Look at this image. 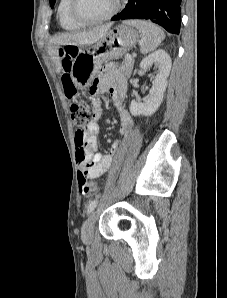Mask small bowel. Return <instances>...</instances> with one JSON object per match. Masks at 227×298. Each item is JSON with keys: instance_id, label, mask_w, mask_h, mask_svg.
Instances as JSON below:
<instances>
[{"instance_id": "small-bowel-1", "label": "small bowel", "mask_w": 227, "mask_h": 298, "mask_svg": "<svg viewBox=\"0 0 227 298\" xmlns=\"http://www.w3.org/2000/svg\"><path fill=\"white\" fill-rule=\"evenodd\" d=\"M90 98H85V103H93L94 107H87V112L96 117H90L91 124L84 125L85 138V159L79 160L76 155L79 173H86L87 179H98L102 177L110 168L112 156L115 153L119 141H115L112 148L107 154L97 152L98 134L100 126L98 119L102 116L103 110L100 105L102 102L101 96L104 93H109L119 112L120 117V134L127 135L133 128V120L124 108L125 94L127 90V81L123 75L119 73L116 66L112 63L106 65L99 72V78H93V82H89ZM76 135V133H75Z\"/></svg>"}]
</instances>
